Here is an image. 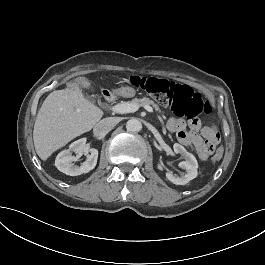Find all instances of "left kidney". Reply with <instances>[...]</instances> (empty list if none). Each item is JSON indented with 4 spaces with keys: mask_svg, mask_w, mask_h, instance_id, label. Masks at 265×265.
Segmentation results:
<instances>
[{
    "mask_svg": "<svg viewBox=\"0 0 265 265\" xmlns=\"http://www.w3.org/2000/svg\"><path fill=\"white\" fill-rule=\"evenodd\" d=\"M174 152L180 153L186 160L179 163V167L186 170L184 175L180 177L173 175L171 172L166 173V177L169 181L176 185H184L189 181L197 177L198 162L193 154L187 152V150L180 144L175 143L173 145ZM158 169L162 170V166L158 165Z\"/></svg>",
    "mask_w": 265,
    "mask_h": 265,
    "instance_id": "5707ae66",
    "label": "left kidney"
}]
</instances>
